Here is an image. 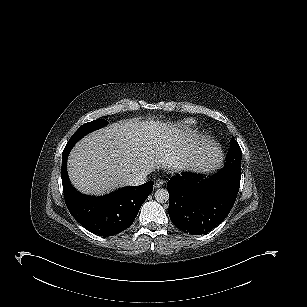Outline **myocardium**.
<instances>
[{
  "label": "myocardium",
  "mask_w": 307,
  "mask_h": 307,
  "mask_svg": "<svg viewBox=\"0 0 307 307\" xmlns=\"http://www.w3.org/2000/svg\"><path fill=\"white\" fill-rule=\"evenodd\" d=\"M189 154L188 153H183L178 155L174 160H172L171 165L173 167H181L185 164H187L188 160H189Z\"/></svg>",
  "instance_id": "obj_1"
}]
</instances>
